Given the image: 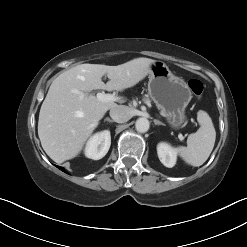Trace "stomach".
<instances>
[{
  "mask_svg": "<svg viewBox=\"0 0 247 247\" xmlns=\"http://www.w3.org/2000/svg\"><path fill=\"white\" fill-rule=\"evenodd\" d=\"M148 92L173 129H180L186 124L185 109L192 98L191 90L165 63L154 61L151 64Z\"/></svg>",
  "mask_w": 247,
  "mask_h": 247,
  "instance_id": "obj_1",
  "label": "stomach"
}]
</instances>
